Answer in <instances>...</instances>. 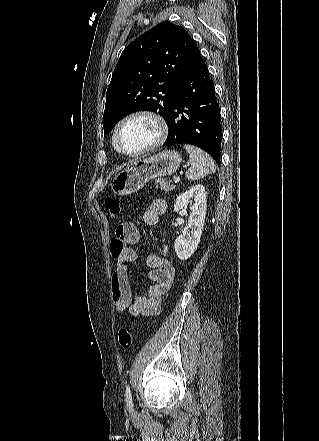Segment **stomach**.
<instances>
[{
  "label": "stomach",
  "mask_w": 319,
  "mask_h": 441,
  "mask_svg": "<svg viewBox=\"0 0 319 441\" xmlns=\"http://www.w3.org/2000/svg\"><path fill=\"white\" fill-rule=\"evenodd\" d=\"M180 163V154L173 150L163 151L145 159H136L114 177L111 190L118 195L132 194L150 179L175 173Z\"/></svg>",
  "instance_id": "stomach-1"
}]
</instances>
